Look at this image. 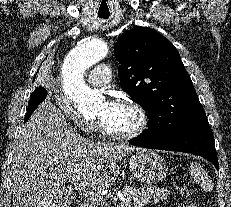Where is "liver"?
I'll return each mask as SVG.
<instances>
[{
  "mask_svg": "<svg viewBox=\"0 0 231 207\" xmlns=\"http://www.w3.org/2000/svg\"><path fill=\"white\" fill-rule=\"evenodd\" d=\"M138 150L83 138L45 101L25 124L14 149L13 207H69L73 190L102 191L113 185L118 160Z\"/></svg>",
  "mask_w": 231,
  "mask_h": 207,
  "instance_id": "obj_1",
  "label": "liver"
}]
</instances>
